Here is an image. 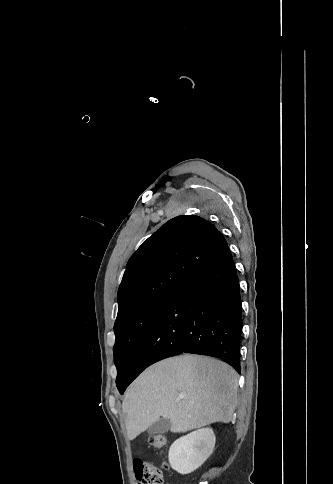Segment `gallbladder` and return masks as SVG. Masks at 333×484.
I'll return each mask as SVG.
<instances>
[{
    "label": "gallbladder",
    "mask_w": 333,
    "mask_h": 484,
    "mask_svg": "<svg viewBox=\"0 0 333 484\" xmlns=\"http://www.w3.org/2000/svg\"><path fill=\"white\" fill-rule=\"evenodd\" d=\"M171 422L169 419H159L155 423H153L150 427L148 432L150 434H164L170 430Z\"/></svg>",
    "instance_id": "gallbladder-1"
}]
</instances>
